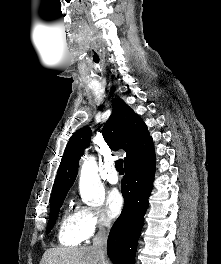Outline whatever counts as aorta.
Here are the masks:
<instances>
[{"instance_id":"obj_1","label":"aorta","mask_w":221,"mask_h":264,"mask_svg":"<svg viewBox=\"0 0 221 264\" xmlns=\"http://www.w3.org/2000/svg\"><path fill=\"white\" fill-rule=\"evenodd\" d=\"M79 189L85 202L93 201L104 193V187L98 175L97 162L94 157H87L82 164Z\"/></svg>"}]
</instances>
